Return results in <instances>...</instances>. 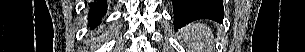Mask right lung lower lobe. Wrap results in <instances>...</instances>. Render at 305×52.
<instances>
[{
    "instance_id": "right-lung-lower-lobe-1",
    "label": "right lung lower lobe",
    "mask_w": 305,
    "mask_h": 52,
    "mask_svg": "<svg viewBox=\"0 0 305 52\" xmlns=\"http://www.w3.org/2000/svg\"><path fill=\"white\" fill-rule=\"evenodd\" d=\"M91 10L88 15L89 17V24L92 27H95L99 24L101 17L107 11V3L106 0H97L94 3L89 4Z\"/></svg>"
}]
</instances>
